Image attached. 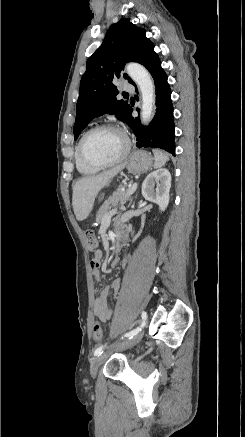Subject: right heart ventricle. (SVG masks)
<instances>
[{
  "mask_svg": "<svg viewBox=\"0 0 245 437\" xmlns=\"http://www.w3.org/2000/svg\"><path fill=\"white\" fill-rule=\"evenodd\" d=\"M74 161L77 171L82 175H92L97 173L100 169L87 165L80 157L78 151V144L74 152Z\"/></svg>",
  "mask_w": 245,
  "mask_h": 437,
  "instance_id": "right-heart-ventricle-1",
  "label": "right heart ventricle"
}]
</instances>
